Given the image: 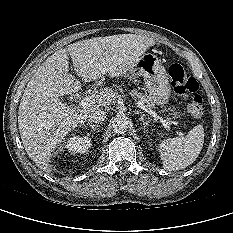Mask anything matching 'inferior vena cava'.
<instances>
[{"instance_id": "obj_1", "label": "inferior vena cava", "mask_w": 233, "mask_h": 233, "mask_svg": "<svg viewBox=\"0 0 233 233\" xmlns=\"http://www.w3.org/2000/svg\"><path fill=\"white\" fill-rule=\"evenodd\" d=\"M106 113L100 109H96L90 112L88 115V121L91 123H101L105 120Z\"/></svg>"}]
</instances>
